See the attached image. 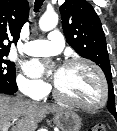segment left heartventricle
<instances>
[{"label":"left heart ventricle","instance_id":"b2bd125f","mask_svg":"<svg viewBox=\"0 0 117 131\" xmlns=\"http://www.w3.org/2000/svg\"><path fill=\"white\" fill-rule=\"evenodd\" d=\"M55 84L68 98L85 105H95L101 99V84L96 73L86 65L61 67L54 73Z\"/></svg>","mask_w":117,"mask_h":131}]
</instances>
